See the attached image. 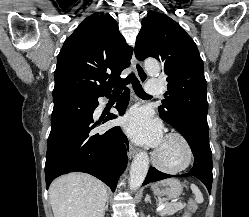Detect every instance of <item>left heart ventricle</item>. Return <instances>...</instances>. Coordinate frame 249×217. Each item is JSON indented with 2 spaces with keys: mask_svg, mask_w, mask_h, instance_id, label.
<instances>
[{
  "mask_svg": "<svg viewBox=\"0 0 249 217\" xmlns=\"http://www.w3.org/2000/svg\"><path fill=\"white\" fill-rule=\"evenodd\" d=\"M159 149L160 157L166 164H177L183 157L181 146L173 140L162 142Z\"/></svg>",
  "mask_w": 249,
  "mask_h": 217,
  "instance_id": "b2bd125f",
  "label": "left heart ventricle"
}]
</instances>
